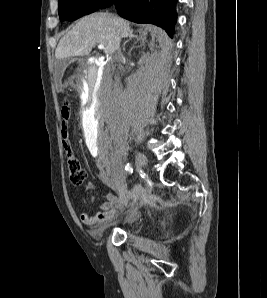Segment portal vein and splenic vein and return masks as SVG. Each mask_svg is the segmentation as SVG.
Here are the masks:
<instances>
[{"instance_id": "18ae733b", "label": "portal vein and splenic vein", "mask_w": 267, "mask_h": 298, "mask_svg": "<svg viewBox=\"0 0 267 298\" xmlns=\"http://www.w3.org/2000/svg\"><path fill=\"white\" fill-rule=\"evenodd\" d=\"M98 49H100V50L104 49V45L99 44V45H98Z\"/></svg>"}]
</instances>
